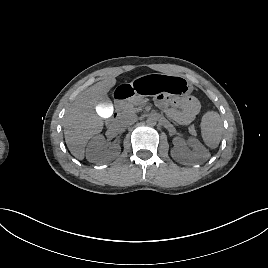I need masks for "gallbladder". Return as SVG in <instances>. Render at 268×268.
<instances>
[{"mask_svg": "<svg viewBox=\"0 0 268 268\" xmlns=\"http://www.w3.org/2000/svg\"><path fill=\"white\" fill-rule=\"evenodd\" d=\"M95 109L97 113L104 118H109L114 114V107L111 105V101L107 97L97 102Z\"/></svg>", "mask_w": 268, "mask_h": 268, "instance_id": "bac80fb5", "label": "gallbladder"}]
</instances>
